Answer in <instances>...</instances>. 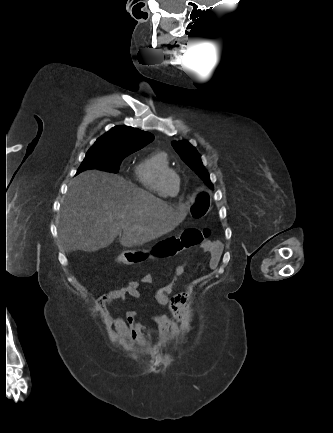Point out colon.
<instances>
[{
    "label": "colon",
    "mask_w": 333,
    "mask_h": 433,
    "mask_svg": "<svg viewBox=\"0 0 333 433\" xmlns=\"http://www.w3.org/2000/svg\"><path fill=\"white\" fill-rule=\"evenodd\" d=\"M210 236V229L188 228L183 231L181 236H160L155 244H149L146 251L147 257L174 258L179 249H188L199 245ZM142 249H125L124 256L116 258V263L131 267L137 263L143 265L149 263V258L143 257Z\"/></svg>",
    "instance_id": "obj_1"
}]
</instances>
